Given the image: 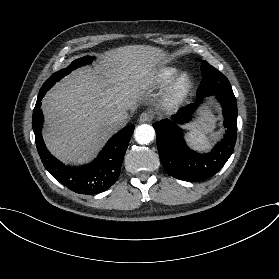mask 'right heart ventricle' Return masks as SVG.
<instances>
[{
	"label": "right heart ventricle",
	"instance_id": "right-heart-ventricle-1",
	"mask_svg": "<svg viewBox=\"0 0 279 279\" xmlns=\"http://www.w3.org/2000/svg\"><path fill=\"white\" fill-rule=\"evenodd\" d=\"M181 73L176 66H161L154 69L148 79L147 85L153 88L167 87Z\"/></svg>",
	"mask_w": 279,
	"mask_h": 279
}]
</instances>
